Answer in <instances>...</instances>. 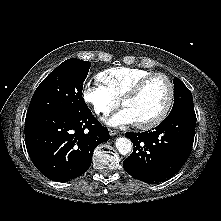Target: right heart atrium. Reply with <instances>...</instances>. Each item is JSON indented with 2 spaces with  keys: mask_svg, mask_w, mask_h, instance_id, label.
Instances as JSON below:
<instances>
[{
  "mask_svg": "<svg viewBox=\"0 0 221 221\" xmlns=\"http://www.w3.org/2000/svg\"><path fill=\"white\" fill-rule=\"evenodd\" d=\"M82 98L99 116H107L119 106V101L100 84L86 83L82 89Z\"/></svg>",
  "mask_w": 221,
  "mask_h": 221,
  "instance_id": "obj_1",
  "label": "right heart atrium"
}]
</instances>
